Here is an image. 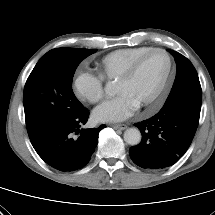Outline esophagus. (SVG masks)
<instances>
[{"instance_id":"1","label":"esophagus","mask_w":215,"mask_h":215,"mask_svg":"<svg viewBox=\"0 0 215 215\" xmlns=\"http://www.w3.org/2000/svg\"><path fill=\"white\" fill-rule=\"evenodd\" d=\"M114 129L125 130L127 126L125 124H113L111 125Z\"/></svg>"}]
</instances>
